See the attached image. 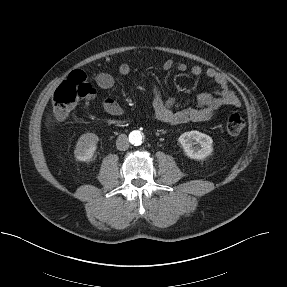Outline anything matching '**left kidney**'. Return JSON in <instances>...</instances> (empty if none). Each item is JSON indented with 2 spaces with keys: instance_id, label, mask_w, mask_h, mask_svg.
Wrapping results in <instances>:
<instances>
[{
  "instance_id": "1",
  "label": "left kidney",
  "mask_w": 287,
  "mask_h": 287,
  "mask_svg": "<svg viewBox=\"0 0 287 287\" xmlns=\"http://www.w3.org/2000/svg\"><path fill=\"white\" fill-rule=\"evenodd\" d=\"M178 142L185 154L191 159L204 160L213 151L212 138L196 130L181 134Z\"/></svg>"
}]
</instances>
